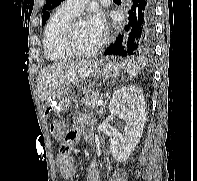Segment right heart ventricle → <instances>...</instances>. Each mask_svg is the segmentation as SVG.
Listing matches in <instances>:
<instances>
[{
    "label": "right heart ventricle",
    "mask_w": 197,
    "mask_h": 181,
    "mask_svg": "<svg viewBox=\"0 0 197 181\" xmlns=\"http://www.w3.org/2000/svg\"><path fill=\"white\" fill-rule=\"evenodd\" d=\"M76 16V13L61 6L49 18L43 36V51L49 61L73 58L64 50L62 41L67 25Z\"/></svg>",
    "instance_id": "obj_1"
}]
</instances>
